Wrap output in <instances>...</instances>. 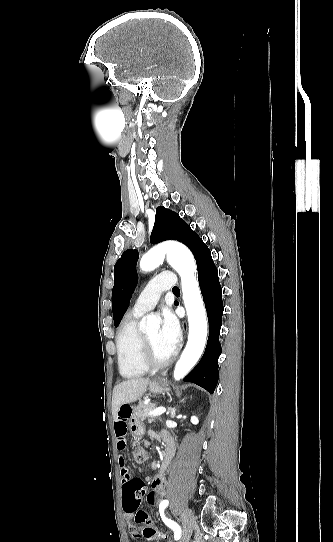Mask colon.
Masks as SVG:
<instances>
[{
  "mask_svg": "<svg viewBox=\"0 0 333 542\" xmlns=\"http://www.w3.org/2000/svg\"><path fill=\"white\" fill-rule=\"evenodd\" d=\"M149 455L146 449H140L134 454V460L137 463L143 462ZM126 477V476H125ZM122 493L124 494L125 502L123 504L124 514L132 515L136 517V524L140 526H149L152 523V518L145 509H139L140 501L144 495V484L142 479H134L128 483L127 486L122 487ZM143 533L149 538L158 540L161 538V533L156 527H146Z\"/></svg>",
  "mask_w": 333,
  "mask_h": 542,
  "instance_id": "5ec220e1",
  "label": "colon"
}]
</instances>
